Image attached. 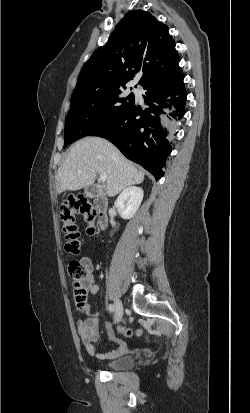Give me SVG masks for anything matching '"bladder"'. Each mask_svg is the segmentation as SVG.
<instances>
[{"label":"bladder","mask_w":250,"mask_h":413,"mask_svg":"<svg viewBox=\"0 0 250 413\" xmlns=\"http://www.w3.org/2000/svg\"><path fill=\"white\" fill-rule=\"evenodd\" d=\"M134 358L129 355L120 356L115 358L105 364L106 369L116 371V370H126L134 366Z\"/></svg>","instance_id":"31cf9c89"}]
</instances>
